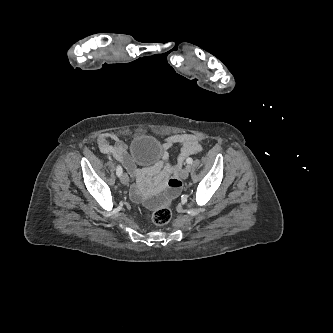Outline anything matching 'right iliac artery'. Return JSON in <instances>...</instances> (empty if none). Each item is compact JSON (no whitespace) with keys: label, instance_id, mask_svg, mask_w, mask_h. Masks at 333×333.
Listing matches in <instances>:
<instances>
[{"label":"right iliac artery","instance_id":"obj_1","mask_svg":"<svg viewBox=\"0 0 333 333\" xmlns=\"http://www.w3.org/2000/svg\"><path fill=\"white\" fill-rule=\"evenodd\" d=\"M122 167L120 165L117 166V169H116V174L118 177H120L122 175Z\"/></svg>","mask_w":333,"mask_h":333}]
</instances>
